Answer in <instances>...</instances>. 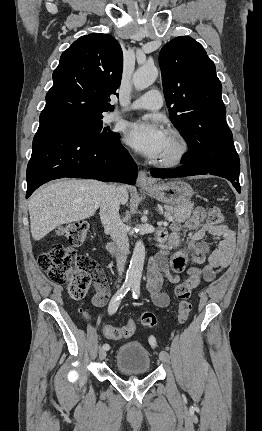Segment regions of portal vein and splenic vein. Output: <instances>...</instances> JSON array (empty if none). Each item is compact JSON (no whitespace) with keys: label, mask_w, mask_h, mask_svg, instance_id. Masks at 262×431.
Segmentation results:
<instances>
[{"label":"portal vein and splenic vein","mask_w":262,"mask_h":431,"mask_svg":"<svg viewBox=\"0 0 262 431\" xmlns=\"http://www.w3.org/2000/svg\"><path fill=\"white\" fill-rule=\"evenodd\" d=\"M166 218H167V221H168V222L173 221V217H172V216H167Z\"/></svg>","instance_id":"18ae733b"}]
</instances>
